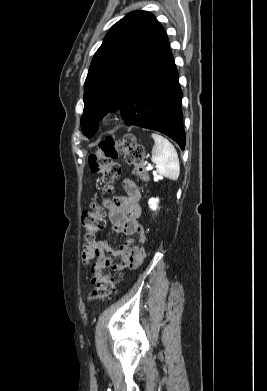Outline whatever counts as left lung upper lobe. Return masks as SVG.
<instances>
[{
	"instance_id": "left-lung-upper-lobe-1",
	"label": "left lung upper lobe",
	"mask_w": 267,
	"mask_h": 391,
	"mask_svg": "<svg viewBox=\"0 0 267 391\" xmlns=\"http://www.w3.org/2000/svg\"><path fill=\"white\" fill-rule=\"evenodd\" d=\"M168 48L165 30L149 12L129 13L112 26L85 80L84 134L95 133L104 115L121 108L136 83Z\"/></svg>"
}]
</instances>
